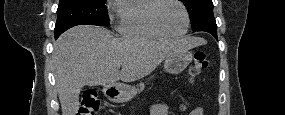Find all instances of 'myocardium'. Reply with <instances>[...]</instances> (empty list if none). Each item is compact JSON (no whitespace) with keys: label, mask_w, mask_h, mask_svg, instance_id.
I'll use <instances>...</instances> for the list:
<instances>
[{"label":"myocardium","mask_w":285,"mask_h":115,"mask_svg":"<svg viewBox=\"0 0 285 115\" xmlns=\"http://www.w3.org/2000/svg\"><path fill=\"white\" fill-rule=\"evenodd\" d=\"M166 1H173V2L177 3L182 8V10L184 12L186 25H185L184 30L179 32V33H171V32H169L168 30H166L160 24V22L158 20V16H157L158 9H159L160 5L162 3H164V2H166ZM150 19H151V22H152L153 26L158 31H160L162 34L166 35L167 37L177 38V37L184 36L188 32V30L190 28V15H189V12H188L186 6L184 5V3L182 1H179V0H157L155 5L153 6L152 11H151Z\"/></svg>","instance_id":"obj_1"}]
</instances>
